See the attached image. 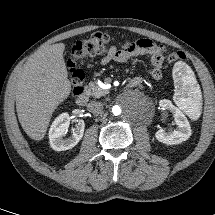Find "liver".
Returning <instances> with one entry per match:
<instances>
[{"instance_id": "liver-1", "label": "liver", "mask_w": 215, "mask_h": 215, "mask_svg": "<svg viewBox=\"0 0 215 215\" xmlns=\"http://www.w3.org/2000/svg\"><path fill=\"white\" fill-rule=\"evenodd\" d=\"M64 49L63 43L40 48L14 76L19 122L36 141L44 138L53 112L71 92Z\"/></svg>"}]
</instances>
